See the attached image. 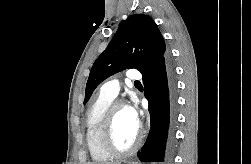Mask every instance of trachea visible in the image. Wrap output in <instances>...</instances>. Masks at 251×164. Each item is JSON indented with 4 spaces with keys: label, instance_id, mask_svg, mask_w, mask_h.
<instances>
[{
    "label": "trachea",
    "instance_id": "trachea-1",
    "mask_svg": "<svg viewBox=\"0 0 251 164\" xmlns=\"http://www.w3.org/2000/svg\"><path fill=\"white\" fill-rule=\"evenodd\" d=\"M135 83H140L139 81H135Z\"/></svg>",
    "mask_w": 251,
    "mask_h": 164
}]
</instances>
